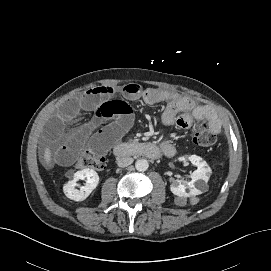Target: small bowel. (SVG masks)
<instances>
[{
  "instance_id": "obj_1",
  "label": "small bowel",
  "mask_w": 271,
  "mask_h": 271,
  "mask_svg": "<svg viewBox=\"0 0 271 271\" xmlns=\"http://www.w3.org/2000/svg\"><path fill=\"white\" fill-rule=\"evenodd\" d=\"M116 93L110 86H98L72 96L59 105L55 115L47 122L45 131L55 163L71 165L86 143L94 151L104 154L114 141L128 131L133 122V111L127 102L116 98ZM121 93L129 101L143 99L147 104L165 103L161 120L166 126L176 124L187 129L193 122L206 119L215 133L221 129L214 110L209 106L197 105L188 96L157 88H143L136 83L125 85ZM82 112H92L93 118L82 128L69 130L67 125ZM161 149L167 156L175 154V147L169 139L161 142Z\"/></svg>"
}]
</instances>
